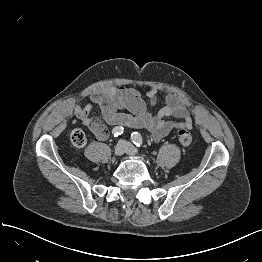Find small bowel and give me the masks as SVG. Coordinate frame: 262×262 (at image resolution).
<instances>
[{
    "label": "small bowel",
    "mask_w": 262,
    "mask_h": 262,
    "mask_svg": "<svg viewBox=\"0 0 262 262\" xmlns=\"http://www.w3.org/2000/svg\"><path fill=\"white\" fill-rule=\"evenodd\" d=\"M146 94L147 100L134 88L104 86L91 95V103L76 105L73 117L85 124L100 141L108 139L109 131L98 118L92 116L93 105L101 108L103 119L107 124L114 128L145 127L151 132L154 141H160L173 129L192 126L193 118L188 109V101L182 95L177 93L168 95L166 105L154 113L153 107L158 100V90L149 87ZM169 117L176 120H168Z\"/></svg>",
    "instance_id": "1"
}]
</instances>
